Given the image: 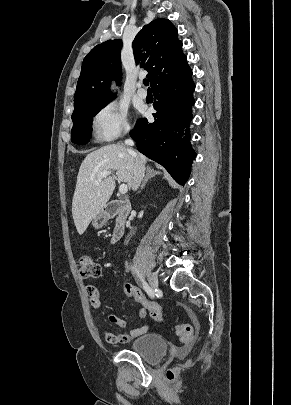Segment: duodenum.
<instances>
[{
    "mask_svg": "<svg viewBox=\"0 0 291 405\" xmlns=\"http://www.w3.org/2000/svg\"><path fill=\"white\" fill-rule=\"evenodd\" d=\"M130 210V202L126 199L112 200L105 206V218L114 219V228L111 234L112 243L118 242L123 237Z\"/></svg>",
    "mask_w": 291,
    "mask_h": 405,
    "instance_id": "410a0bca",
    "label": "duodenum"
}]
</instances>
